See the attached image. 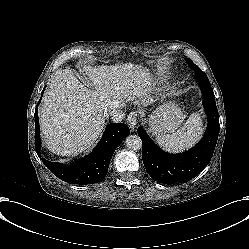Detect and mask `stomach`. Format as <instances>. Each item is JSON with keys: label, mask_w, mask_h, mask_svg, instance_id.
Masks as SVG:
<instances>
[{"label": "stomach", "mask_w": 249, "mask_h": 249, "mask_svg": "<svg viewBox=\"0 0 249 249\" xmlns=\"http://www.w3.org/2000/svg\"><path fill=\"white\" fill-rule=\"evenodd\" d=\"M184 113L175 102L158 106L147 118L149 132L152 135L172 133L180 127Z\"/></svg>", "instance_id": "stomach-1"}]
</instances>
